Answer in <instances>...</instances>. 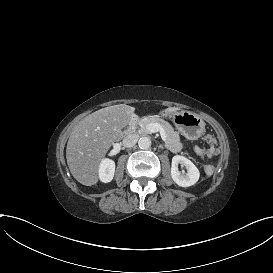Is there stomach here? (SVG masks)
<instances>
[{
  "label": "stomach",
  "mask_w": 273,
  "mask_h": 273,
  "mask_svg": "<svg viewBox=\"0 0 273 273\" xmlns=\"http://www.w3.org/2000/svg\"><path fill=\"white\" fill-rule=\"evenodd\" d=\"M160 115L172 118L177 130L188 140H197L205 132L204 120L189 111L168 114L165 110H162Z\"/></svg>",
  "instance_id": "0dacf381"
}]
</instances>
